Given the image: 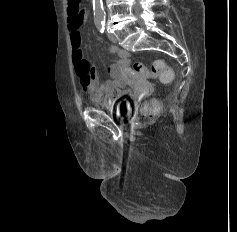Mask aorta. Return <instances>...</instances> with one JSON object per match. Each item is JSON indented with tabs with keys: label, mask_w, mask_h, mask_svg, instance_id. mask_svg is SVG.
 <instances>
[{
	"label": "aorta",
	"mask_w": 237,
	"mask_h": 232,
	"mask_svg": "<svg viewBox=\"0 0 237 232\" xmlns=\"http://www.w3.org/2000/svg\"><path fill=\"white\" fill-rule=\"evenodd\" d=\"M94 20L96 23H103L105 21V12L103 9L102 0H93Z\"/></svg>",
	"instance_id": "aorta-1"
}]
</instances>
